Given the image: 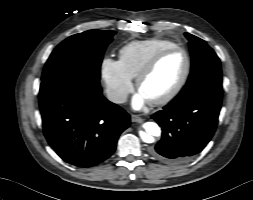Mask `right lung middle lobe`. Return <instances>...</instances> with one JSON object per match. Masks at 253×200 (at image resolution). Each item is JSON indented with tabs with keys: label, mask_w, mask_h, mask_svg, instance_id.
Segmentation results:
<instances>
[{
	"label": "right lung middle lobe",
	"mask_w": 253,
	"mask_h": 200,
	"mask_svg": "<svg viewBox=\"0 0 253 200\" xmlns=\"http://www.w3.org/2000/svg\"><path fill=\"white\" fill-rule=\"evenodd\" d=\"M115 31L90 30L62 41L48 58L42 82L64 76H82L99 82L100 66Z\"/></svg>",
	"instance_id": "dd1d6c3e"
}]
</instances>
